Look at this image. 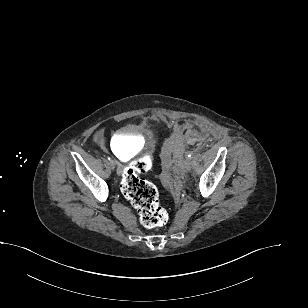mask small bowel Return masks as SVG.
I'll list each match as a JSON object with an SVG mask.
<instances>
[{"label":"small bowel","instance_id":"obj_1","mask_svg":"<svg viewBox=\"0 0 308 308\" xmlns=\"http://www.w3.org/2000/svg\"><path fill=\"white\" fill-rule=\"evenodd\" d=\"M182 128L187 129L188 131H192L191 123L187 122L181 125ZM94 141L101 145L102 148H106V138H105V131L100 130L94 136Z\"/></svg>","mask_w":308,"mask_h":308}]
</instances>
